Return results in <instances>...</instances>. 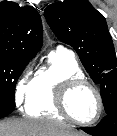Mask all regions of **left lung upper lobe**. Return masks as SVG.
I'll return each instance as SVG.
<instances>
[{
  "mask_svg": "<svg viewBox=\"0 0 117 136\" xmlns=\"http://www.w3.org/2000/svg\"><path fill=\"white\" fill-rule=\"evenodd\" d=\"M44 15L58 39L75 49L92 80L100 85L109 113L117 107V59L105 18L87 0L53 3Z\"/></svg>",
  "mask_w": 117,
  "mask_h": 136,
  "instance_id": "1",
  "label": "left lung upper lobe"
}]
</instances>
